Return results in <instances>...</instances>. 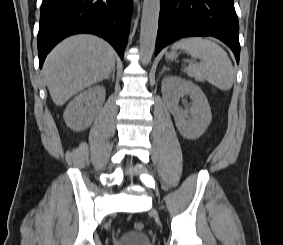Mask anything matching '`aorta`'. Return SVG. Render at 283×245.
<instances>
[{"mask_svg":"<svg viewBox=\"0 0 283 245\" xmlns=\"http://www.w3.org/2000/svg\"><path fill=\"white\" fill-rule=\"evenodd\" d=\"M159 12L160 0H144L140 31V51L144 64L151 61L155 49Z\"/></svg>","mask_w":283,"mask_h":245,"instance_id":"obj_1","label":"aorta"}]
</instances>
